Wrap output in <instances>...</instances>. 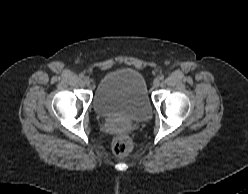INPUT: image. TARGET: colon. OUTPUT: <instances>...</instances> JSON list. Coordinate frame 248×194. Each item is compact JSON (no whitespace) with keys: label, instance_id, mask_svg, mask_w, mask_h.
Masks as SVG:
<instances>
[{"label":"colon","instance_id":"obj_1","mask_svg":"<svg viewBox=\"0 0 248 194\" xmlns=\"http://www.w3.org/2000/svg\"><path fill=\"white\" fill-rule=\"evenodd\" d=\"M112 149L117 156H126L132 151L133 143L128 136L119 135L114 139Z\"/></svg>","mask_w":248,"mask_h":194}]
</instances>
